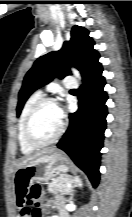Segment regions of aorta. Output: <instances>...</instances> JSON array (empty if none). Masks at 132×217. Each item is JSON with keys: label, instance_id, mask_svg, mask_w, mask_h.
Segmentation results:
<instances>
[{"label": "aorta", "instance_id": "obj_1", "mask_svg": "<svg viewBox=\"0 0 132 217\" xmlns=\"http://www.w3.org/2000/svg\"><path fill=\"white\" fill-rule=\"evenodd\" d=\"M72 72L79 80H81V76H80L79 71H77L76 69H72Z\"/></svg>", "mask_w": 132, "mask_h": 217}]
</instances>
